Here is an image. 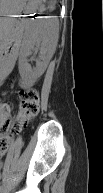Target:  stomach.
<instances>
[{"label": "stomach", "instance_id": "obj_1", "mask_svg": "<svg viewBox=\"0 0 103 193\" xmlns=\"http://www.w3.org/2000/svg\"><path fill=\"white\" fill-rule=\"evenodd\" d=\"M40 0H0V15L5 22L21 13H33L36 11Z\"/></svg>", "mask_w": 103, "mask_h": 193}]
</instances>
